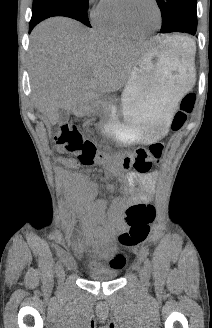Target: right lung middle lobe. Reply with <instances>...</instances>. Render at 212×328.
I'll list each match as a JSON object with an SVG mask.
<instances>
[{
	"instance_id": "right-lung-middle-lobe-1",
	"label": "right lung middle lobe",
	"mask_w": 212,
	"mask_h": 328,
	"mask_svg": "<svg viewBox=\"0 0 212 328\" xmlns=\"http://www.w3.org/2000/svg\"><path fill=\"white\" fill-rule=\"evenodd\" d=\"M88 3L89 0H33L32 9L64 10L73 15L74 19L91 27L87 15Z\"/></svg>"
}]
</instances>
